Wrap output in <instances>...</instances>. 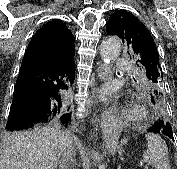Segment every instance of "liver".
<instances>
[{"instance_id": "1", "label": "liver", "mask_w": 177, "mask_h": 169, "mask_svg": "<svg viewBox=\"0 0 177 169\" xmlns=\"http://www.w3.org/2000/svg\"><path fill=\"white\" fill-rule=\"evenodd\" d=\"M64 136L52 127L8 136L0 150V169H56L57 149Z\"/></svg>"}]
</instances>
